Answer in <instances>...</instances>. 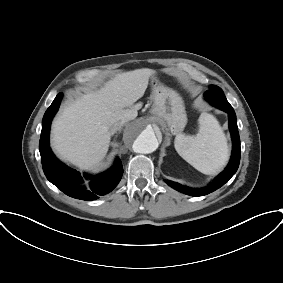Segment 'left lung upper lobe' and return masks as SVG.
<instances>
[{"instance_id": "left-lung-upper-lobe-1", "label": "left lung upper lobe", "mask_w": 283, "mask_h": 283, "mask_svg": "<svg viewBox=\"0 0 283 283\" xmlns=\"http://www.w3.org/2000/svg\"><path fill=\"white\" fill-rule=\"evenodd\" d=\"M209 98L224 100L226 99L222 89L216 85H211L210 90L205 93Z\"/></svg>"}]
</instances>
